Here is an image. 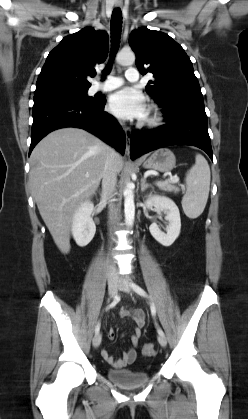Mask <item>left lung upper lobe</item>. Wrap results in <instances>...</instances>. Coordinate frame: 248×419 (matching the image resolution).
Listing matches in <instances>:
<instances>
[{"label":"left lung upper lobe","instance_id":"left-lung-upper-lobe-1","mask_svg":"<svg viewBox=\"0 0 248 419\" xmlns=\"http://www.w3.org/2000/svg\"><path fill=\"white\" fill-rule=\"evenodd\" d=\"M129 44L136 54L138 70L143 75L153 74L146 91L162 111L204 105L190 58L169 35L142 27L132 31Z\"/></svg>","mask_w":248,"mask_h":419}]
</instances>
